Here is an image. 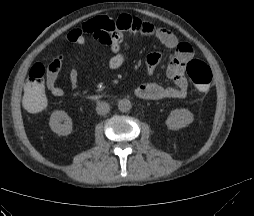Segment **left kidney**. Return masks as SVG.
<instances>
[{"mask_svg": "<svg viewBox=\"0 0 254 216\" xmlns=\"http://www.w3.org/2000/svg\"><path fill=\"white\" fill-rule=\"evenodd\" d=\"M193 120L194 115L188 109H175L170 112L166 125L171 130H179L191 124Z\"/></svg>", "mask_w": 254, "mask_h": 216, "instance_id": "1", "label": "left kidney"}]
</instances>
